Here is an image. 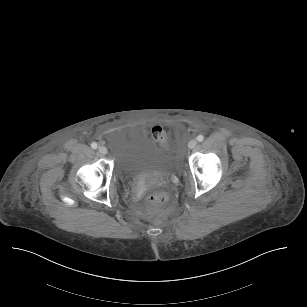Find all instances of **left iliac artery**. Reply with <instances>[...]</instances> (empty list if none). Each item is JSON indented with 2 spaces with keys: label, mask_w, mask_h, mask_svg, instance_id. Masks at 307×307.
Returning a JSON list of instances; mask_svg holds the SVG:
<instances>
[{
  "label": "left iliac artery",
  "mask_w": 307,
  "mask_h": 307,
  "mask_svg": "<svg viewBox=\"0 0 307 307\" xmlns=\"http://www.w3.org/2000/svg\"><path fill=\"white\" fill-rule=\"evenodd\" d=\"M204 140V136L203 135H198L197 136V141L198 142H202Z\"/></svg>",
  "instance_id": "44dca946"
}]
</instances>
